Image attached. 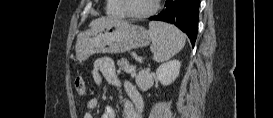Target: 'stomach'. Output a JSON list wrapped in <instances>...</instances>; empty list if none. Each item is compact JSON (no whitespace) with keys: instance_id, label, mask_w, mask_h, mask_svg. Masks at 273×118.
I'll use <instances>...</instances> for the list:
<instances>
[{"instance_id":"1","label":"stomach","mask_w":273,"mask_h":118,"mask_svg":"<svg viewBox=\"0 0 273 118\" xmlns=\"http://www.w3.org/2000/svg\"><path fill=\"white\" fill-rule=\"evenodd\" d=\"M150 41V33L145 28L114 21L82 32L76 42V59L82 62L96 53H123L148 46Z\"/></svg>"}]
</instances>
